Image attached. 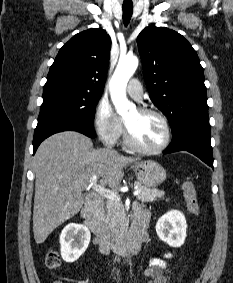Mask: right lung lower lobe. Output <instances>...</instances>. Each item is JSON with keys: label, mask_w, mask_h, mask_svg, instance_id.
Listing matches in <instances>:
<instances>
[{"label": "right lung lower lobe", "mask_w": 233, "mask_h": 283, "mask_svg": "<svg viewBox=\"0 0 233 283\" xmlns=\"http://www.w3.org/2000/svg\"><path fill=\"white\" fill-rule=\"evenodd\" d=\"M62 131H77L90 138H94L96 133L92 125H87L64 118L49 119L38 123L33 139L34 153L40 143L47 137Z\"/></svg>", "instance_id": "obj_1"}]
</instances>
